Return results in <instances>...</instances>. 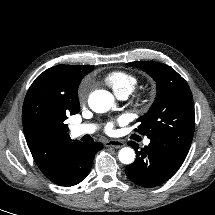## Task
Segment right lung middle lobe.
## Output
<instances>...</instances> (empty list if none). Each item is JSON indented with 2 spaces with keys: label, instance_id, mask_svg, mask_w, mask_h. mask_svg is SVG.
I'll list each match as a JSON object with an SVG mask.
<instances>
[{
  "label": "right lung middle lobe",
  "instance_id": "obj_1",
  "mask_svg": "<svg viewBox=\"0 0 215 215\" xmlns=\"http://www.w3.org/2000/svg\"><path fill=\"white\" fill-rule=\"evenodd\" d=\"M50 70V75L67 79L52 92L40 86L30 87L24 103L28 114L37 124L46 128L67 127L64 124L67 116L79 112V103L73 97L80 81L68 78L66 65H57Z\"/></svg>",
  "mask_w": 215,
  "mask_h": 215
}]
</instances>
